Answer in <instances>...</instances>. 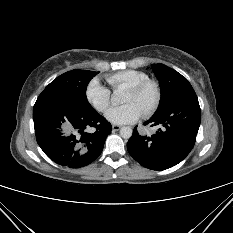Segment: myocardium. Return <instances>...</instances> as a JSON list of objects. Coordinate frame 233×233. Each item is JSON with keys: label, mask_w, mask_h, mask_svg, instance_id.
Instances as JSON below:
<instances>
[{"label": "myocardium", "mask_w": 233, "mask_h": 233, "mask_svg": "<svg viewBox=\"0 0 233 233\" xmlns=\"http://www.w3.org/2000/svg\"><path fill=\"white\" fill-rule=\"evenodd\" d=\"M149 87H152L155 92V96L153 101L148 105V107L143 112V116L148 117L152 115L158 108L161 97H162V91L161 86L158 81L154 79H146L144 81L139 82L138 84H135L133 86L128 87V91H131L135 94H142L146 89Z\"/></svg>", "instance_id": "obj_1"}]
</instances>
